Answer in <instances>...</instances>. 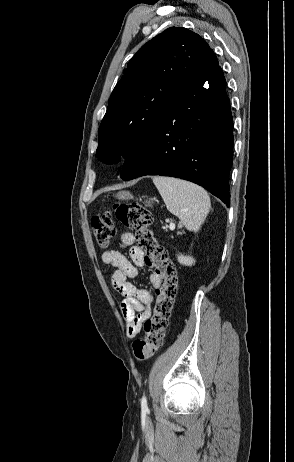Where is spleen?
Returning <instances> with one entry per match:
<instances>
[{
	"label": "spleen",
	"instance_id": "spleen-1",
	"mask_svg": "<svg viewBox=\"0 0 294 462\" xmlns=\"http://www.w3.org/2000/svg\"><path fill=\"white\" fill-rule=\"evenodd\" d=\"M153 183L167 209L178 216L187 230L197 232L211 208L208 193L198 185L171 177L156 176ZM178 261L185 265L193 263L192 258L183 255L178 256Z\"/></svg>",
	"mask_w": 294,
	"mask_h": 462
}]
</instances>
